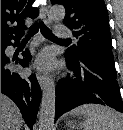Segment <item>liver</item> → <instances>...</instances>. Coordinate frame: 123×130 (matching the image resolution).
I'll list each match as a JSON object with an SVG mask.
<instances>
[{
    "label": "liver",
    "mask_w": 123,
    "mask_h": 130,
    "mask_svg": "<svg viewBox=\"0 0 123 130\" xmlns=\"http://www.w3.org/2000/svg\"><path fill=\"white\" fill-rule=\"evenodd\" d=\"M22 122L18 107L7 96L1 94V130H20Z\"/></svg>",
    "instance_id": "6515ba94"
}]
</instances>
